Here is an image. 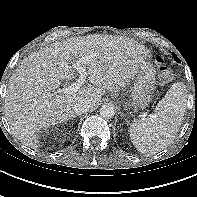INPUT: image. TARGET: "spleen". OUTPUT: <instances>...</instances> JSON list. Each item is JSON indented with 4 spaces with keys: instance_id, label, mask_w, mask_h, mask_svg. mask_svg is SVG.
Returning a JSON list of instances; mask_svg holds the SVG:
<instances>
[{
    "instance_id": "1",
    "label": "spleen",
    "mask_w": 197,
    "mask_h": 197,
    "mask_svg": "<svg viewBox=\"0 0 197 197\" xmlns=\"http://www.w3.org/2000/svg\"><path fill=\"white\" fill-rule=\"evenodd\" d=\"M186 102V86L182 82L174 83L153 114L133 121L130 139L139 152L155 154L174 140L183 121Z\"/></svg>"
}]
</instances>
